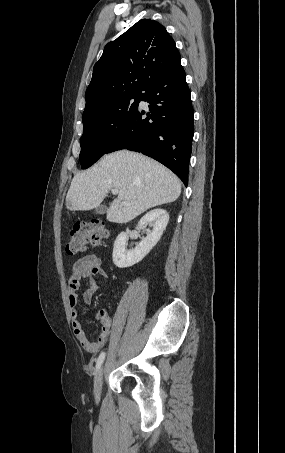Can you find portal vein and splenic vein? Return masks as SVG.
<instances>
[{"instance_id": "portal-vein-and-splenic-vein-1", "label": "portal vein and splenic vein", "mask_w": 285, "mask_h": 453, "mask_svg": "<svg viewBox=\"0 0 285 453\" xmlns=\"http://www.w3.org/2000/svg\"><path fill=\"white\" fill-rule=\"evenodd\" d=\"M111 192H112L113 195L118 194V190L117 189H112Z\"/></svg>"}]
</instances>
